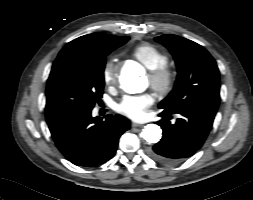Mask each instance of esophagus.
I'll return each mask as SVG.
<instances>
[{
    "instance_id": "obj_1",
    "label": "esophagus",
    "mask_w": 253,
    "mask_h": 200,
    "mask_svg": "<svg viewBox=\"0 0 253 200\" xmlns=\"http://www.w3.org/2000/svg\"><path fill=\"white\" fill-rule=\"evenodd\" d=\"M141 126H142L141 123H136V122L132 123V127H141Z\"/></svg>"
}]
</instances>
